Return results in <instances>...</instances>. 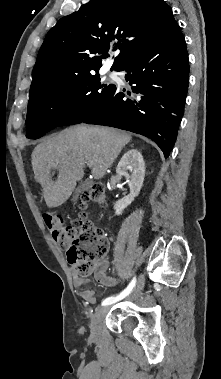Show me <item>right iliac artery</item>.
Masks as SVG:
<instances>
[{
    "label": "right iliac artery",
    "instance_id": "right-iliac-artery-1",
    "mask_svg": "<svg viewBox=\"0 0 221 379\" xmlns=\"http://www.w3.org/2000/svg\"><path fill=\"white\" fill-rule=\"evenodd\" d=\"M135 283H136V279L134 278L131 281V283L128 285V287L124 291H122L120 294H118L117 296H111L104 299L102 301V306L110 305L126 297L132 291L133 287L135 286Z\"/></svg>",
    "mask_w": 221,
    "mask_h": 379
}]
</instances>
